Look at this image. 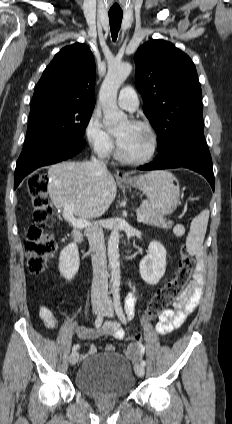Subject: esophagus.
<instances>
[{"label":"esophagus","mask_w":232,"mask_h":424,"mask_svg":"<svg viewBox=\"0 0 232 424\" xmlns=\"http://www.w3.org/2000/svg\"><path fill=\"white\" fill-rule=\"evenodd\" d=\"M116 177L118 179H127L129 178V175L124 173L122 170H117Z\"/></svg>","instance_id":"34e87169"}]
</instances>
